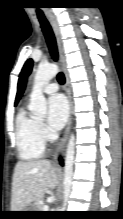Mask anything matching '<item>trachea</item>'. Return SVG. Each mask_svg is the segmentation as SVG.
Returning a JSON list of instances; mask_svg holds the SVG:
<instances>
[{"instance_id": "trachea-1", "label": "trachea", "mask_w": 123, "mask_h": 219, "mask_svg": "<svg viewBox=\"0 0 123 219\" xmlns=\"http://www.w3.org/2000/svg\"><path fill=\"white\" fill-rule=\"evenodd\" d=\"M37 17H38L39 22L41 24V28H42V31H43L44 36L46 38L50 53H51L53 59L57 60L58 51H57L56 40H55L54 33L52 31V28H51L49 22L47 21V19L45 18L44 14L41 11L37 12ZM57 80L60 84L65 83V77H64V74L62 72H60L57 75Z\"/></svg>"}]
</instances>
